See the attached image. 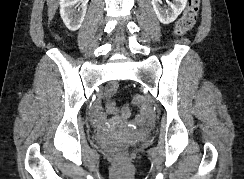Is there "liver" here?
I'll use <instances>...</instances> for the list:
<instances>
[{
    "instance_id": "liver-1",
    "label": "liver",
    "mask_w": 244,
    "mask_h": 179,
    "mask_svg": "<svg viewBox=\"0 0 244 179\" xmlns=\"http://www.w3.org/2000/svg\"><path fill=\"white\" fill-rule=\"evenodd\" d=\"M47 6H48V20L49 22H51L59 6V0H47Z\"/></svg>"
}]
</instances>
